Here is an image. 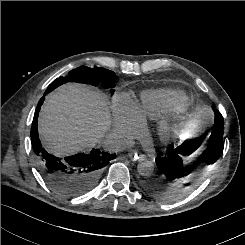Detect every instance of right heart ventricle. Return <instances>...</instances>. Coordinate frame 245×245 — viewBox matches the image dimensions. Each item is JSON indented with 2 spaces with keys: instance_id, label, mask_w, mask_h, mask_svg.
Listing matches in <instances>:
<instances>
[{
  "instance_id": "right-heart-ventricle-1",
  "label": "right heart ventricle",
  "mask_w": 245,
  "mask_h": 245,
  "mask_svg": "<svg viewBox=\"0 0 245 245\" xmlns=\"http://www.w3.org/2000/svg\"><path fill=\"white\" fill-rule=\"evenodd\" d=\"M185 93L175 89L161 88L142 91L136 104L137 112L143 121L158 119L187 104Z\"/></svg>"
}]
</instances>
